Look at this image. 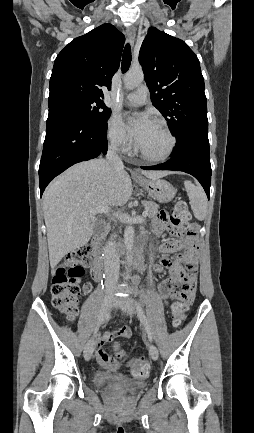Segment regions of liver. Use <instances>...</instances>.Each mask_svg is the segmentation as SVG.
<instances>
[{"instance_id": "6515ba94", "label": "liver", "mask_w": 254, "mask_h": 433, "mask_svg": "<svg viewBox=\"0 0 254 433\" xmlns=\"http://www.w3.org/2000/svg\"><path fill=\"white\" fill-rule=\"evenodd\" d=\"M149 179H159L168 171H141ZM132 193L131 179L124 168H114L104 159L72 166L56 178L43 196L44 219L51 268L69 252L90 240L100 206H123Z\"/></svg>"}]
</instances>
